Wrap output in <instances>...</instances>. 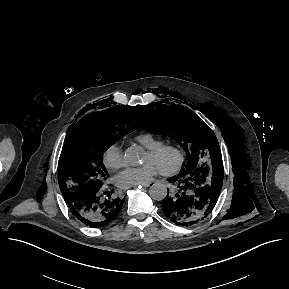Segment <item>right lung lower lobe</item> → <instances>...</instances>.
<instances>
[{"mask_svg":"<svg viewBox=\"0 0 289 289\" xmlns=\"http://www.w3.org/2000/svg\"><path fill=\"white\" fill-rule=\"evenodd\" d=\"M111 192L102 193L100 188L66 200V203L80 222L92 228L102 227L116 218L124 202V198Z\"/></svg>","mask_w":289,"mask_h":289,"instance_id":"1","label":"right lung lower lobe"}]
</instances>
